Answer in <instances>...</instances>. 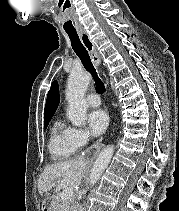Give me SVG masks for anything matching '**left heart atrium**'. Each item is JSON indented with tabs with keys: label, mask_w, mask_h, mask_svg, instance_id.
Here are the masks:
<instances>
[{
	"label": "left heart atrium",
	"mask_w": 179,
	"mask_h": 211,
	"mask_svg": "<svg viewBox=\"0 0 179 211\" xmlns=\"http://www.w3.org/2000/svg\"><path fill=\"white\" fill-rule=\"evenodd\" d=\"M87 124L93 136H99L105 132L108 126V116L101 109L93 110L87 115Z\"/></svg>",
	"instance_id": "left-heart-atrium-1"
}]
</instances>
